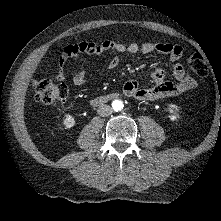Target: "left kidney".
Wrapping results in <instances>:
<instances>
[{
  "mask_svg": "<svg viewBox=\"0 0 221 221\" xmlns=\"http://www.w3.org/2000/svg\"><path fill=\"white\" fill-rule=\"evenodd\" d=\"M168 111L171 115H169L168 117L170 118L171 121H176L180 118L179 116V107L175 104H170Z\"/></svg>",
  "mask_w": 221,
  "mask_h": 221,
  "instance_id": "1",
  "label": "left kidney"
}]
</instances>
